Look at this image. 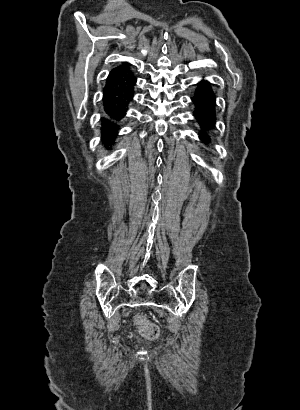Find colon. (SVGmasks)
I'll use <instances>...</instances> for the list:
<instances>
[{"mask_svg": "<svg viewBox=\"0 0 300 410\" xmlns=\"http://www.w3.org/2000/svg\"><path fill=\"white\" fill-rule=\"evenodd\" d=\"M136 322L145 338L155 340L159 337L160 330L155 324L149 323L142 317H138Z\"/></svg>", "mask_w": 300, "mask_h": 410, "instance_id": "1", "label": "colon"}]
</instances>
